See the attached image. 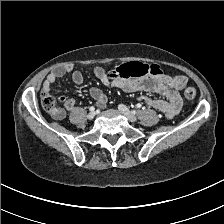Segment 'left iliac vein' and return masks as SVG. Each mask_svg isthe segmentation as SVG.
I'll return each instance as SVG.
<instances>
[{"mask_svg": "<svg viewBox=\"0 0 224 224\" xmlns=\"http://www.w3.org/2000/svg\"><path fill=\"white\" fill-rule=\"evenodd\" d=\"M118 109L130 122L137 120V117L125 105H119Z\"/></svg>", "mask_w": 224, "mask_h": 224, "instance_id": "obj_1", "label": "left iliac vein"}]
</instances>
